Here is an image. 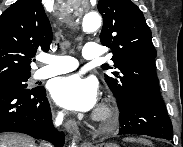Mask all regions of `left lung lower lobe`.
<instances>
[{"label":"left lung lower lobe","instance_id":"0a47b994","mask_svg":"<svg viewBox=\"0 0 183 147\" xmlns=\"http://www.w3.org/2000/svg\"><path fill=\"white\" fill-rule=\"evenodd\" d=\"M120 110L119 134H139L172 140L171 120L161 97L133 95Z\"/></svg>","mask_w":183,"mask_h":147}]
</instances>
